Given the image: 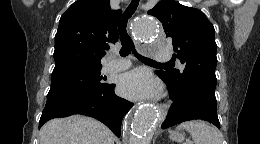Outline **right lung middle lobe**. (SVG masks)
<instances>
[{"label": "right lung middle lobe", "instance_id": "dd1d6c3e", "mask_svg": "<svg viewBox=\"0 0 260 144\" xmlns=\"http://www.w3.org/2000/svg\"><path fill=\"white\" fill-rule=\"evenodd\" d=\"M102 66L71 65L52 72L51 88L48 94L65 91L93 92L110 84L100 76Z\"/></svg>", "mask_w": 260, "mask_h": 144}]
</instances>
